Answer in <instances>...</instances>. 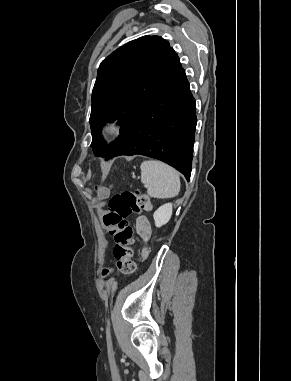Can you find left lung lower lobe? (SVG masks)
<instances>
[{"label": "left lung lower lobe", "mask_w": 291, "mask_h": 381, "mask_svg": "<svg viewBox=\"0 0 291 381\" xmlns=\"http://www.w3.org/2000/svg\"><path fill=\"white\" fill-rule=\"evenodd\" d=\"M195 111V100L181 68L148 101L106 160L135 154L156 158L176 168L189 181L197 123Z\"/></svg>", "instance_id": "0a47b994"}]
</instances>
